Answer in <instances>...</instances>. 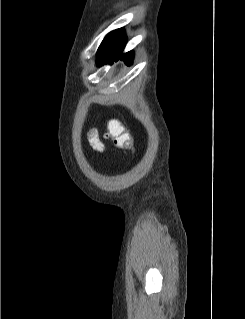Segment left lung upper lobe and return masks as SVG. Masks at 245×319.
I'll return each instance as SVG.
<instances>
[{"label":"left lung upper lobe","instance_id":"obj_1","mask_svg":"<svg viewBox=\"0 0 245 319\" xmlns=\"http://www.w3.org/2000/svg\"><path fill=\"white\" fill-rule=\"evenodd\" d=\"M123 33V29H117L110 32L102 41L98 51H107L113 49L117 45Z\"/></svg>","mask_w":245,"mask_h":319}]
</instances>
